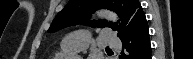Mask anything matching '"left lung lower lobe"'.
I'll return each instance as SVG.
<instances>
[{
	"instance_id": "left-lung-lower-lobe-1",
	"label": "left lung lower lobe",
	"mask_w": 193,
	"mask_h": 59,
	"mask_svg": "<svg viewBox=\"0 0 193 59\" xmlns=\"http://www.w3.org/2000/svg\"><path fill=\"white\" fill-rule=\"evenodd\" d=\"M119 38L125 48L120 59H151L149 30L143 12L134 15Z\"/></svg>"
}]
</instances>
